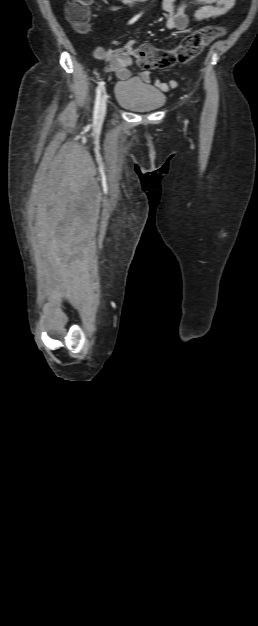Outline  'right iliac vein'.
<instances>
[{
	"label": "right iliac vein",
	"mask_w": 258,
	"mask_h": 626,
	"mask_svg": "<svg viewBox=\"0 0 258 626\" xmlns=\"http://www.w3.org/2000/svg\"><path fill=\"white\" fill-rule=\"evenodd\" d=\"M106 108H107V96L106 94H104L100 101L98 120H102L104 118L105 113H106Z\"/></svg>",
	"instance_id": "obj_1"
}]
</instances>
